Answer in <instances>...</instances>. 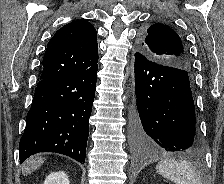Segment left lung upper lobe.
<instances>
[{
	"instance_id": "5c2ea615",
	"label": "left lung upper lobe",
	"mask_w": 224,
	"mask_h": 184,
	"mask_svg": "<svg viewBox=\"0 0 224 184\" xmlns=\"http://www.w3.org/2000/svg\"><path fill=\"white\" fill-rule=\"evenodd\" d=\"M139 52L158 64L189 71L190 59L181 37L169 26L155 23L145 30Z\"/></svg>"
}]
</instances>
